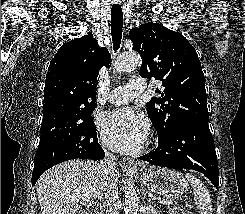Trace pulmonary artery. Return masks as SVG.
Here are the masks:
<instances>
[{
  "instance_id": "pulmonary-artery-1",
  "label": "pulmonary artery",
  "mask_w": 245,
  "mask_h": 214,
  "mask_svg": "<svg viewBox=\"0 0 245 214\" xmlns=\"http://www.w3.org/2000/svg\"><path fill=\"white\" fill-rule=\"evenodd\" d=\"M146 89V82L140 77H133L125 86H120L111 91L109 102L113 104L126 103L135 96L143 93Z\"/></svg>"
}]
</instances>
